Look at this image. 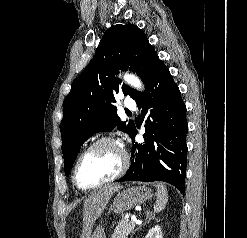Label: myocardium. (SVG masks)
<instances>
[{"mask_svg":"<svg viewBox=\"0 0 247 238\" xmlns=\"http://www.w3.org/2000/svg\"><path fill=\"white\" fill-rule=\"evenodd\" d=\"M102 144H113L115 146H117L121 152L122 155V165L120 170L112 177H110L107 180H104L98 184H95L93 186H88L85 187L83 185L80 184L79 180H78V168L79 165L82 161V159L89 154L91 151H93L95 148H97L98 146L102 145ZM130 165V157L128 152L125 150V148L113 137L111 136H103L98 138L97 140H95L90 146H88L77 158L74 168H73V182L76 185L77 188H79L80 190H84V191H89V190H93V189H97L99 187H102L106 184H109L117 179H119L120 177H122L128 170Z\"/></svg>","mask_w":247,"mask_h":238,"instance_id":"myocardium-1","label":"myocardium"}]
</instances>
